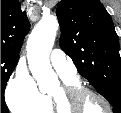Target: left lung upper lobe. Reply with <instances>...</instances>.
I'll return each instance as SVG.
<instances>
[{"label": "left lung upper lobe", "mask_w": 121, "mask_h": 113, "mask_svg": "<svg viewBox=\"0 0 121 113\" xmlns=\"http://www.w3.org/2000/svg\"><path fill=\"white\" fill-rule=\"evenodd\" d=\"M56 14L61 48L114 113H121V58L111 16L99 0H62Z\"/></svg>", "instance_id": "1"}]
</instances>
